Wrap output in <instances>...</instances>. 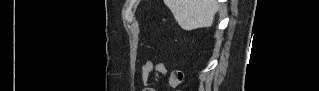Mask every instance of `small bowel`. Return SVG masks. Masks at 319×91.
I'll use <instances>...</instances> for the list:
<instances>
[{"instance_id": "c3829d8e", "label": "small bowel", "mask_w": 319, "mask_h": 91, "mask_svg": "<svg viewBox=\"0 0 319 91\" xmlns=\"http://www.w3.org/2000/svg\"><path fill=\"white\" fill-rule=\"evenodd\" d=\"M166 71V67L163 64H156L152 61H147L142 70V79L145 83H148L152 76L162 74ZM182 75L180 72H172L171 83L176 85L181 80Z\"/></svg>"}]
</instances>
